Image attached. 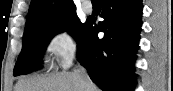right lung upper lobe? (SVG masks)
Returning <instances> with one entry per match:
<instances>
[{
  "label": "right lung upper lobe",
  "instance_id": "obj_1",
  "mask_svg": "<svg viewBox=\"0 0 173 91\" xmlns=\"http://www.w3.org/2000/svg\"><path fill=\"white\" fill-rule=\"evenodd\" d=\"M74 14L73 0H31L25 29L57 22Z\"/></svg>",
  "mask_w": 173,
  "mask_h": 91
}]
</instances>
